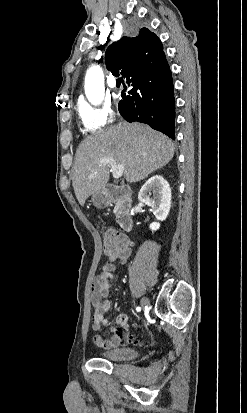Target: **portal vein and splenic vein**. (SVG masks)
Wrapping results in <instances>:
<instances>
[{"label": "portal vein and splenic vein", "mask_w": 247, "mask_h": 413, "mask_svg": "<svg viewBox=\"0 0 247 413\" xmlns=\"http://www.w3.org/2000/svg\"><path fill=\"white\" fill-rule=\"evenodd\" d=\"M102 164H110L114 178H120V176H122L124 166L123 164H117L114 158H100L99 166H102Z\"/></svg>", "instance_id": "18ae733b"}]
</instances>
